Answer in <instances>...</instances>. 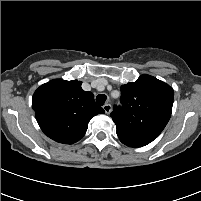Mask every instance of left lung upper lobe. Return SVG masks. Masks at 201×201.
<instances>
[{"mask_svg":"<svg viewBox=\"0 0 201 201\" xmlns=\"http://www.w3.org/2000/svg\"><path fill=\"white\" fill-rule=\"evenodd\" d=\"M123 107H114L111 117L117 135L152 142L168 123L173 106V89L150 75L121 86Z\"/></svg>","mask_w":201,"mask_h":201,"instance_id":"5c2ea615","label":"left lung upper lobe"}]
</instances>
